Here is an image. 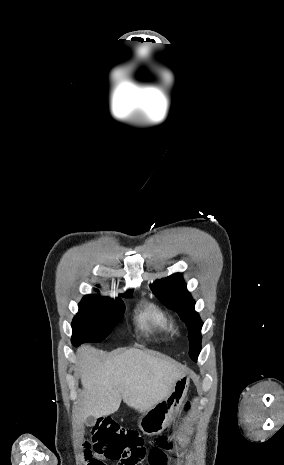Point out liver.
<instances>
[{
    "instance_id": "obj_1",
    "label": "liver",
    "mask_w": 284,
    "mask_h": 465,
    "mask_svg": "<svg viewBox=\"0 0 284 465\" xmlns=\"http://www.w3.org/2000/svg\"><path fill=\"white\" fill-rule=\"evenodd\" d=\"M79 371L84 387L80 421L87 417H107L124 403L145 413L171 393L174 383L184 375L183 367L158 359L140 349H128L110 361H102L100 351L80 347Z\"/></svg>"
}]
</instances>
